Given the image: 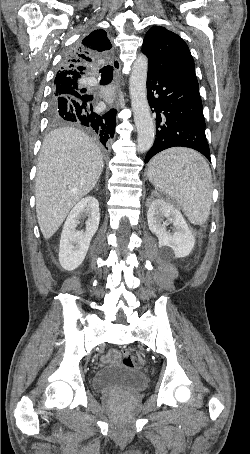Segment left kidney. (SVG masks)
Returning a JSON list of instances; mask_svg holds the SVG:
<instances>
[{
	"label": "left kidney",
	"instance_id": "1",
	"mask_svg": "<svg viewBox=\"0 0 250 454\" xmlns=\"http://www.w3.org/2000/svg\"><path fill=\"white\" fill-rule=\"evenodd\" d=\"M147 221L164 255L183 258L191 253L195 237L175 206L162 198L153 199L147 212ZM169 224H173L172 232L167 230Z\"/></svg>",
	"mask_w": 250,
	"mask_h": 454
}]
</instances>
